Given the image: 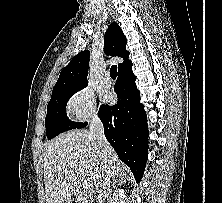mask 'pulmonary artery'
Instances as JSON below:
<instances>
[{
    "instance_id": "pulmonary-artery-1",
    "label": "pulmonary artery",
    "mask_w": 222,
    "mask_h": 203,
    "mask_svg": "<svg viewBox=\"0 0 222 203\" xmlns=\"http://www.w3.org/2000/svg\"><path fill=\"white\" fill-rule=\"evenodd\" d=\"M101 83L104 87H110L111 86L112 80H111L110 74L108 72L105 73L104 77L101 80Z\"/></svg>"
}]
</instances>
